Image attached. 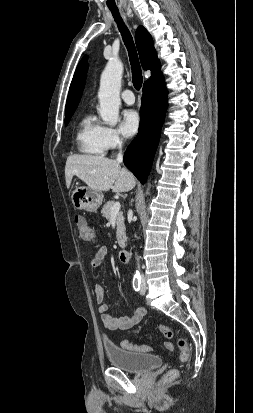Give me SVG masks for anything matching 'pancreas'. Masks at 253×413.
Segmentation results:
<instances>
[{
	"label": "pancreas",
	"instance_id": "1",
	"mask_svg": "<svg viewBox=\"0 0 253 413\" xmlns=\"http://www.w3.org/2000/svg\"><path fill=\"white\" fill-rule=\"evenodd\" d=\"M113 205H114V201H109L103 206L101 210L102 216L105 217L109 221L111 220V216H112L111 209ZM115 220H116V227H117L116 237L118 240V244L122 246L124 243V237H125V225H124L123 213L118 212L116 214Z\"/></svg>",
	"mask_w": 253,
	"mask_h": 413
}]
</instances>
